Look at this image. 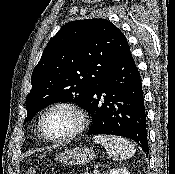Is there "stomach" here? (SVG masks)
I'll list each match as a JSON object with an SVG mask.
<instances>
[{
  "instance_id": "obj_1",
  "label": "stomach",
  "mask_w": 175,
  "mask_h": 174,
  "mask_svg": "<svg viewBox=\"0 0 175 174\" xmlns=\"http://www.w3.org/2000/svg\"><path fill=\"white\" fill-rule=\"evenodd\" d=\"M92 148L75 147L57 155L56 160L64 165H84L94 159Z\"/></svg>"
}]
</instances>
